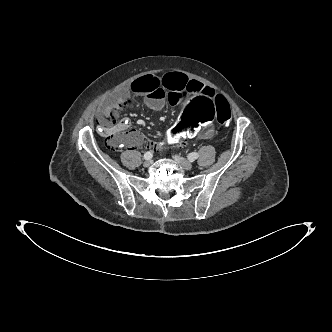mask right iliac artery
Segmentation results:
<instances>
[{
  "mask_svg": "<svg viewBox=\"0 0 332 332\" xmlns=\"http://www.w3.org/2000/svg\"><path fill=\"white\" fill-rule=\"evenodd\" d=\"M152 156H153V153H152L151 151H147V152L144 154V158H145L146 160L151 159Z\"/></svg>",
  "mask_w": 332,
  "mask_h": 332,
  "instance_id": "obj_1",
  "label": "right iliac artery"
}]
</instances>
